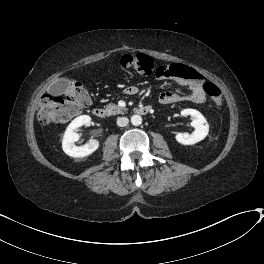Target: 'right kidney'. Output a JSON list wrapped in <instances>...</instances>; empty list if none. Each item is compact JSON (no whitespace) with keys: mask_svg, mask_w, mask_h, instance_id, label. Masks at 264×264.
<instances>
[{"mask_svg":"<svg viewBox=\"0 0 264 264\" xmlns=\"http://www.w3.org/2000/svg\"><path fill=\"white\" fill-rule=\"evenodd\" d=\"M91 121L90 116L88 115H81L77 118H75L67 127L63 141H62V149L63 151L75 158H83L85 156H88L92 154L94 151L97 150L99 147V142L95 139L89 140L88 143H86L83 146H76L75 142L79 140L80 135L77 133L78 128H80L83 125L89 124Z\"/></svg>","mask_w":264,"mask_h":264,"instance_id":"right-kidney-1","label":"right kidney"}]
</instances>
